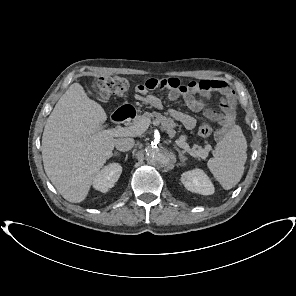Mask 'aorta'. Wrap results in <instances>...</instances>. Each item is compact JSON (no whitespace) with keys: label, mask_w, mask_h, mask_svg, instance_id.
Here are the masks:
<instances>
[{"label":"aorta","mask_w":296,"mask_h":296,"mask_svg":"<svg viewBox=\"0 0 296 296\" xmlns=\"http://www.w3.org/2000/svg\"><path fill=\"white\" fill-rule=\"evenodd\" d=\"M146 159L152 166L162 168L169 164L170 154L168 150L157 144H148L145 148Z\"/></svg>","instance_id":"1"}]
</instances>
